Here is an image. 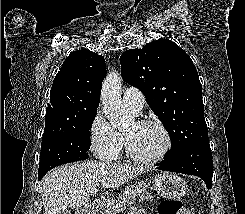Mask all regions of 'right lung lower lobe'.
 I'll list each match as a JSON object with an SVG mask.
<instances>
[{
    "label": "right lung lower lobe",
    "instance_id": "1",
    "mask_svg": "<svg viewBox=\"0 0 245 214\" xmlns=\"http://www.w3.org/2000/svg\"><path fill=\"white\" fill-rule=\"evenodd\" d=\"M43 176H44V175H39V176H38V179H39V180L42 179Z\"/></svg>",
    "mask_w": 245,
    "mask_h": 214
}]
</instances>
